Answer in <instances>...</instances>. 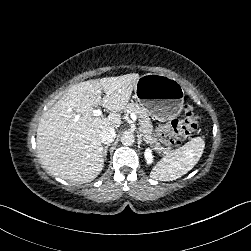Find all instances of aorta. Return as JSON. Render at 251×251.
<instances>
[{
    "label": "aorta",
    "instance_id": "obj_1",
    "mask_svg": "<svg viewBox=\"0 0 251 251\" xmlns=\"http://www.w3.org/2000/svg\"><path fill=\"white\" fill-rule=\"evenodd\" d=\"M134 135L132 133L129 132H124L121 135V142L123 145L125 146H129L132 145L134 143Z\"/></svg>",
    "mask_w": 251,
    "mask_h": 251
}]
</instances>
